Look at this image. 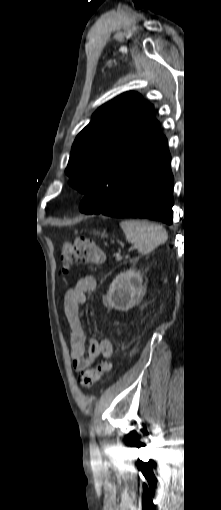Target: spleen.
I'll return each mask as SVG.
<instances>
[{
  "label": "spleen",
  "mask_w": 221,
  "mask_h": 510,
  "mask_svg": "<svg viewBox=\"0 0 221 510\" xmlns=\"http://www.w3.org/2000/svg\"><path fill=\"white\" fill-rule=\"evenodd\" d=\"M128 242L141 254H148L167 240L166 230L157 224L144 220H124L120 223Z\"/></svg>",
  "instance_id": "obj_1"
}]
</instances>
